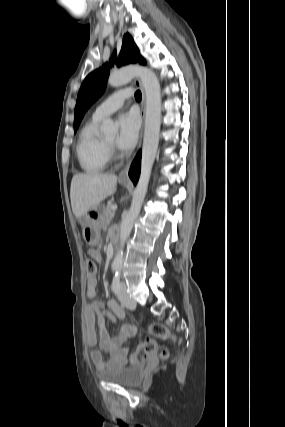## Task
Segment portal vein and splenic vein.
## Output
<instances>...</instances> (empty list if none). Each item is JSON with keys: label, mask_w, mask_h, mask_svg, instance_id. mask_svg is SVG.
<instances>
[{"label": "portal vein and splenic vein", "mask_w": 285, "mask_h": 427, "mask_svg": "<svg viewBox=\"0 0 285 427\" xmlns=\"http://www.w3.org/2000/svg\"><path fill=\"white\" fill-rule=\"evenodd\" d=\"M117 209V205L112 206V210L115 211Z\"/></svg>", "instance_id": "18ae733b"}]
</instances>
